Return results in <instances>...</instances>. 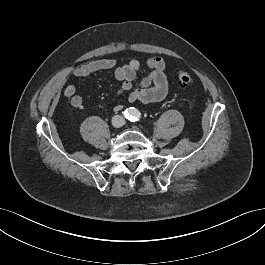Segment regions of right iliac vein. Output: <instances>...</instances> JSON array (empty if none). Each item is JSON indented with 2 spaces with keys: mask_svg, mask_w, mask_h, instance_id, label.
Listing matches in <instances>:
<instances>
[{
  "mask_svg": "<svg viewBox=\"0 0 265 265\" xmlns=\"http://www.w3.org/2000/svg\"><path fill=\"white\" fill-rule=\"evenodd\" d=\"M112 125L115 128H118L121 126V119L119 117H115L112 121Z\"/></svg>",
  "mask_w": 265,
  "mask_h": 265,
  "instance_id": "right-iliac-vein-1",
  "label": "right iliac vein"
}]
</instances>
